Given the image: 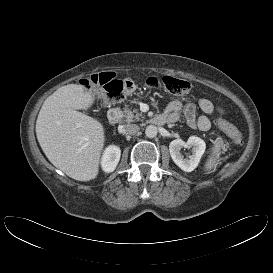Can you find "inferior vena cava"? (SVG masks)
I'll list each match as a JSON object with an SVG mask.
<instances>
[{
    "mask_svg": "<svg viewBox=\"0 0 273 273\" xmlns=\"http://www.w3.org/2000/svg\"><path fill=\"white\" fill-rule=\"evenodd\" d=\"M140 130L139 126L136 124H127L124 126V133L129 135H135Z\"/></svg>",
    "mask_w": 273,
    "mask_h": 273,
    "instance_id": "obj_1",
    "label": "inferior vena cava"
}]
</instances>
